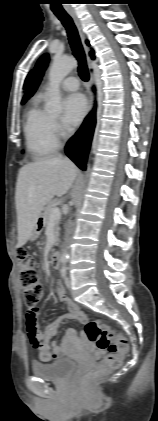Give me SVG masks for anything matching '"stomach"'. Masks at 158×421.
<instances>
[{
  "label": "stomach",
  "instance_id": "obj_1",
  "mask_svg": "<svg viewBox=\"0 0 158 421\" xmlns=\"http://www.w3.org/2000/svg\"><path fill=\"white\" fill-rule=\"evenodd\" d=\"M42 227H43V221L41 219H38V221H37V223H36V225L33 229V232H32V234L29 238L31 241H34L35 239L38 238V236L41 233Z\"/></svg>",
  "mask_w": 158,
  "mask_h": 421
}]
</instances>
